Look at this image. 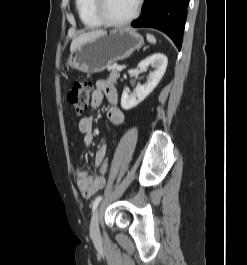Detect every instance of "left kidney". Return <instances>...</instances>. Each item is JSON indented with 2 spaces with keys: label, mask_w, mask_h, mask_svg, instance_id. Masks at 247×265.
Returning <instances> with one entry per match:
<instances>
[{
  "label": "left kidney",
  "mask_w": 247,
  "mask_h": 265,
  "mask_svg": "<svg viewBox=\"0 0 247 265\" xmlns=\"http://www.w3.org/2000/svg\"><path fill=\"white\" fill-rule=\"evenodd\" d=\"M168 64L167 57L162 53H155L147 57L138 64L141 71H146L148 66H152L155 70L150 72L147 83L138 85L134 92L129 94L124 90L121 97V107L124 110H129L142 102L158 85L163 77Z\"/></svg>",
  "instance_id": "left-kidney-1"
}]
</instances>
